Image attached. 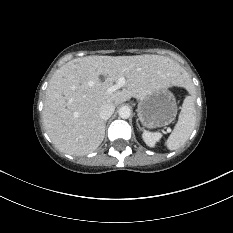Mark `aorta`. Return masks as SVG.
Wrapping results in <instances>:
<instances>
[{
  "label": "aorta",
  "mask_w": 233,
  "mask_h": 233,
  "mask_svg": "<svg viewBox=\"0 0 233 233\" xmlns=\"http://www.w3.org/2000/svg\"><path fill=\"white\" fill-rule=\"evenodd\" d=\"M118 114L122 119H127L131 115V110L128 106H122L119 108Z\"/></svg>",
  "instance_id": "1"
}]
</instances>
